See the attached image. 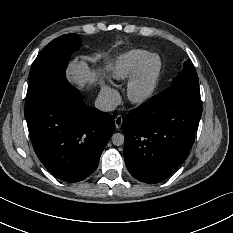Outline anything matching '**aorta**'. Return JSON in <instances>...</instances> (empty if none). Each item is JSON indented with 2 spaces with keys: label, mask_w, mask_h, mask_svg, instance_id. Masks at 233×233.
Masks as SVG:
<instances>
[{
  "label": "aorta",
  "mask_w": 233,
  "mask_h": 233,
  "mask_svg": "<svg viewBox=\"0 0 233 233\" xmlns=\"http://www.w3.org/2000/svg\"><path fill=\"white\" fill-rule=\"evenodd\" d=\"M112 144L115 146H121L124 143V136L121 133H115L111 137Z\"/></svg>",
  "instance_id": "762f6f07"
}]
</instances>
